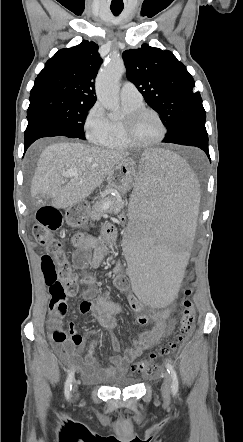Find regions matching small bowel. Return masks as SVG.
I'll list each match as a JSON object with an SVG mask.
<instances>
[{"label": "small bowel", "instance_id": "c3829d8e", "mask_svg": "<svg viewBox=\"0 0 243 442\" xmlns=\"http://www.w3.org/2000/svg\"><path fill=\"white\" fill-rule=\"evenodd\" d=\"M116 238V229L112 224L102 227L100 235L94 236L86 232H77L71 238L73 246V262L79 269L90 266L97 269L101 266L106 256L110 253L109 244ZM115 286L121 292H128L130 281L122 273L119 264L114 267ZM85 282L90 286L83 292V300L79 307L81 315L90 314L101 325L111 330L115 327V317L119 315L123 307L120 303L112 301L103 296L95 288L94 278H86ZM131 306L134 310H140L139 300L130 295ZM67 305L51 307L48 327L55 332H63V317L66 313ZM170 311L164 310L154 312L149 318L146 315H139L137 322L147 324L151 322V327L134 338L133 347L121 353L118 341L112 338L115 355L107 358L105 366L97 365L92 354L94 346L101 340V334L95 332L89 344L87 353L82 356L80 351L85 347V339L76 329L74 321L69 323L68 336L63 341H54L59 347L61 355L68 361L69 365L79 368L83 375L93 381H101L119 374L125 373L130 364L137 359L145 350L157 345L159 341L168 333L170 325L168 319ZM67 335V334H66Z\"/></svg>", "mask_w": 243, "mask_h": 442}]
</instances>
